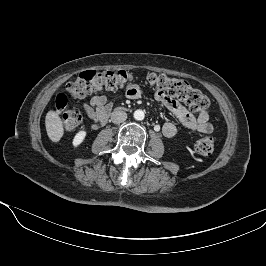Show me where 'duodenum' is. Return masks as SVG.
Masks as SVG:
<instances>
[{
    "instance_id": "410a0bca",
    "label": "duodenum",
    "mask_w": 266,
    "mask_h": 266,
    "mask_svg": "<svg viewBox=\"0 0 266 266\" xmlns=\"http://www.w3.org/2000/svg\"><path fill=\"white\" fill-rule=\"evenodd\" d=\"M108 117H109V114H107V116L105 117L104 123L107 121Z\"/></svg>"
}]
</instances>
